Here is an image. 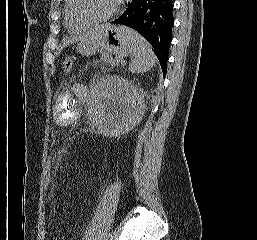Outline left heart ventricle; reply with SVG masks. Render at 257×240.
Listing matches in <instances>:
<instances>
[{"mask_svg": "<svg viewBox=\"0 0 257 240\" xmlns=\"http://www.w3.org/2000/svg\"><path fill=\"white\" fill-rule=\"evenodd\" d=\"M115 0H85L86 10L94 16H104L115 7Z\"/></svg>", "mask_w": 257, "mask_h": 240, "instance_id": "left-heart-ventricle-1", "label": "left heart ventricle"}]
</instances>
